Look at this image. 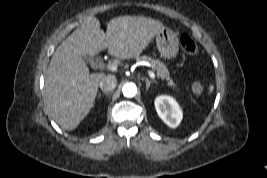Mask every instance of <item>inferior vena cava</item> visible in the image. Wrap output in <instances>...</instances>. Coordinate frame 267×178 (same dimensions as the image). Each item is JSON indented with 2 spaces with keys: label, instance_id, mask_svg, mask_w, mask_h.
<instances>
[{
  "label": "inferior vena cava",
  "instance_id": "inferior-vena-cava-1",
  "mask_svg": "<svg viewBox=\"0 0 267 178\" xmlns=\"http://www.w3.org/2000/svg\"><path fill=\"white\" fill-rule=\"evenodd\" d=\"M99 86L104 92H112L117 86V79L114 75H105L100 80Z\"/></svg>",
  "mask_w": 267,
  "mask_h": 178
}]
</instances>
